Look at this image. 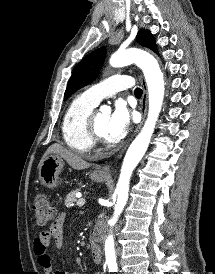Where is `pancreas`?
<instances>
[{"label": "pancreas", "mask_w": 215, "mask_h": 274, "mask_svg": "<svg viewBox=\"0 0 215 274\" xmlns=\"http://www.w3.org/2000/svg\"><path fill=\"white\" fill-rule=\"evenodd\" d=\"M78 191H79V189L73 190L66 196V199H65V206L66 207H72V204L74 202H76L75 195Z\"/></svg>", "instance_id": "cf45deb5"}]
</instances>
